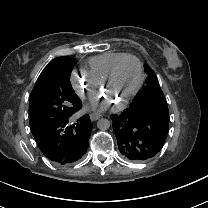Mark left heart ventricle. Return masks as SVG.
I'll list each match as a JSON object with an SVG mask.
<instances>
[{
  "label": "left heart ventricle",
  "instance_id": "b2bd125f",
  "mask_svg": "<svg viewBox=\"0 0 208 208\" xmlns=\"http://www.w3.org/2000/svg\"><path fill=\"white\" fill-rule=\"evenodd\" d=\"M138 64L132 59H125L118 66L113 80L106 86L107 100H119L127 96L139 80Z\"/></svg>",
  "mask_w": 208,
  "mask_h": 208
}]
</instances>
